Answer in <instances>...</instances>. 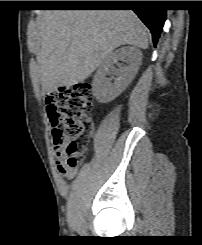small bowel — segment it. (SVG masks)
<instances>
[{
    "instance_id": "c3829d8e",
    "label": "small bowel",
    "mask_w": 202,
    "mask_h": 245,
    "mask_svg": "<svg viewBox=\"0 0 202 245\" xmlns=\"http://www.w3.org/2000/svg\"><path fill=\"white\" fill-rule=\"evenodd\" d=\"M47 109L51 119L54 117V109L56 106L55 96L53 94L46 97ZM63 142L53 144V155L56 159L58 172L64 176L67 180H71L77 173V167H70L66 164L64 152H63Z\"/></svg>"
}]
</instances>
